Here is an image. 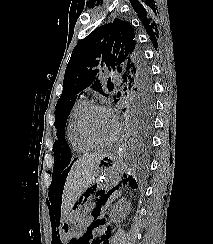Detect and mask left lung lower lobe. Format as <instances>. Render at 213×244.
<instances>
[{"mask_svg":"<svg viewBox=\"0 0 213 244\" xmlns=\"http://www.w3.org/2000/svg\"><path fill=\"white\" fill-rule=\"evenodd\" d=\"M125 110L126 109L123 111ZM127 114L129 119L126 142L127 148L136 156H145L151 147V134L153 131L154 119L153 114H148L145 111L130 108Z\"/></svg>","mask_w":213,"mask_h":244,"instance_id":"obj_1","label":"left lung lower lobe"}]
</instances>
